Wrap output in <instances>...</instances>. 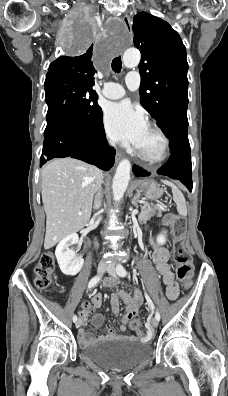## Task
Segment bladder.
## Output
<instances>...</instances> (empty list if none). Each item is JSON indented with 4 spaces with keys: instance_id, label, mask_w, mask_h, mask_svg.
<instances>
[{
    "instance_id": "1",
    "label": "bladder",
    "mask_w": 228,
    "mask_h": 396,
    "mask_svg": "<svg viewBox=\"0 0 228 396\" xmlns=\"http://www.w3.org/2000/svg\"><path fill=\"white\" fill-rule=\"evenodd\" d=\"M83 355L109 370L132 369L150 359L152 348L147 343L128 339H109L83 349Z\"/></svg>"
}]
</instances>
